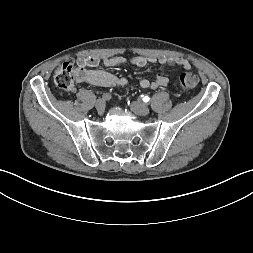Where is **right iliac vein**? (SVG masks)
I'll use <instances>...</instances> for the list:
<instances>
[{
  "label": "right iliac vein",
  "mask_w": 253,
  "mask_h": 253,
  "mask_svg": "<svg viewBox=\"0 0 253 253\" xmlns=\"http://www.w3.org/2000/svg\"><path fill=\"white\" fill-rule=\"evenodd\" d=\"M95 107L99 113L104 112L105 110V101L103 99H98L95 103Z\"/></svg>",
  "instance_id": "63e3f726"
}]
</instances>
